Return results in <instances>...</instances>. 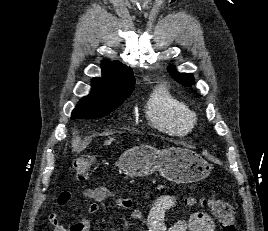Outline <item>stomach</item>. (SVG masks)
<instances>
[{"label": "stomach", "mask_w": 268, "mask_h": 231, "mask_svg": "<svg viewBox=\"0 0 268 231\" xmlns=\"http://www.w3.org/2000/svg\"><path fill=\"white\" fill-rule=\"evenodd\" d=\"M118 167L129 177H144L158 171L174 183H192L209 176L212 165L196 152L181 147L157 150L140 145L123 152Z\"/></svg>", "instance_id": "0dacf381"}]
</instances>
